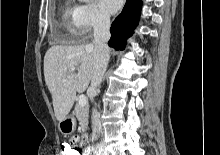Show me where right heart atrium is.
Returning a JSON list of instances; mask_svg holds the SVG:
<instances>
[{"mask_svg":"<svg viewBox=\"0 0 220 155\" xmlns=\"http://www.w3.org/2000/svg\"><path fill=\"white\" fill-rule=\"evenodd\" d=\"M109 24V15L96 4L90 3L79 6L78 29L81 35H89L105 29Z\"/></svg>","mask_w":220,"mask_h":155,"instance_id":"d8ad5b80","label":"right heart atrium"}]
</instances>
